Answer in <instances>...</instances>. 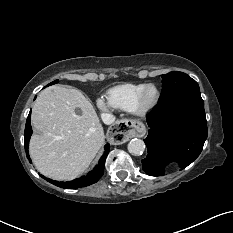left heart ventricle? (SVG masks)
I'll use <instances>...</instances> for the list:
<instances>
[{
	"mask_svg": "<svg viewBox=\"0 0 233 233\" xmlns=\"http://www.w3.org/2000/svg\"><path fill=\"white\" fill-rule=\"evenodd\" d=\"M155 96H156L155 90L153 88H148L144 95V102L147 104L152 102Z\"/></svg>",
	"mask_w": 233,
	"mask_h": 233,
	"instance_id": "1",
	"label": "left heart ventricle"
}]
</instances>
